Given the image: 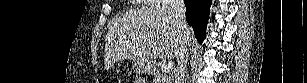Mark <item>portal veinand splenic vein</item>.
I'll return each instance as SVG.
<instances>
[{"mask_svg": "<svg viewBox=\"0 0 307 83\" xmlns=\"http://www.w3.org/2000/svg\"><path fill=\"white\" fill-rule=\"evenodd\" d=\"M162 72L169 73L173 69V63L171 61H164L161 65Z\"/></svg>", "mask_w": 307, "mask_h": 83, "instance_id": "18ae733b", "label": "portal vein and splenic vein"}]
</instances>
